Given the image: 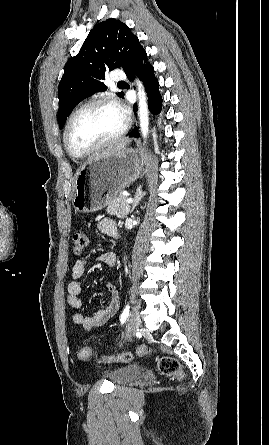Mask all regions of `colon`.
I'll use <instances>...</instances> for the list:
<instances>
[{"label":"colon","instance_id":"1","mask_svg":"<svg viewBox=\"0 0 269 445\" xmlns=\"http://www.w3.org/2000/svg\"><path fill=\"white\" fill-rule=\"evenodd\" d=\"M90 237L88 232L84 230L77 231L73 236V250L75 254H82L88 247ZM141 354L145 353V349L141 347L139 349ZM94 354V351L89 346H84L78 350V358L81 360L87 359ZM100 359L106 363L114 362H130L133 360V354L131 352H123L116 355H100ZM158 370L161 374L166 376H181V368L179 362L172 357H161L157 362Z\"/></svg>","mask_w":269,"mask_h":445}]
</instances>
